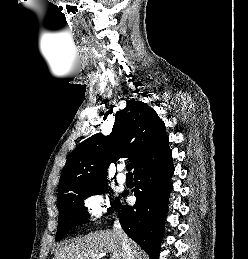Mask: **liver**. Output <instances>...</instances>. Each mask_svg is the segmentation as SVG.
Returning a JSON list of instances; mask_svg holds the SVG:
<instances>
[{
    "mask_svg": "<svg viewBox=\"0 0 248 259\" xmlns=\"http://www.w3.org/2000/svg\"><path fill=\"white\" fill-rule=\"evenodd\" d=\"M135 259H142L141 249L130 242ZM110 254V259H125L121 238L110 230L98 231L73 240L59 248L53 259H100Z\"/></svg>",
    "mask_w": 248,
    "mask_h": 259,
    "instance_id": "obj_1",
    "label": "liver"
}]
</instances>
